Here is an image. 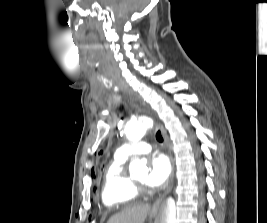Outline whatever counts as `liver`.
Instances as JSON below:
<instances>
[{"label":"liver","mask_w":267,"mask_h":223,"mask_svg":"<svg viewBox=\"0 0 267 223\" xmlns=\"http://www.w3.org/2000/svg\"><path fill=\"white\" fill-rule=\"evenodd\" d=\"M149 211V204L134 205L114 214L107 223H144Z\"/></svg>","instance_id":"liver-1"}]
</instances>
